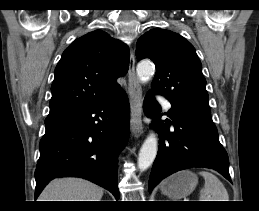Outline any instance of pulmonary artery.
Wrapping results in <instances>:
<instances>
[{"label": "pulmonary artery", "mask_w": 259, "mask_h": 211, "mask_svg": "<svg viewBox=\"0 0 259 211\" xmlns=\"http://www.w3.org/2000/svg\"><path fill=\"white\" fill-rule=\"evenodd\" d=\"M161 103H162L163 107H164L166 110H168V109L170 108V103H169L168 100L162 99V100H161Z\"/></svg>", "instance_id": "1"}]
</instances>
